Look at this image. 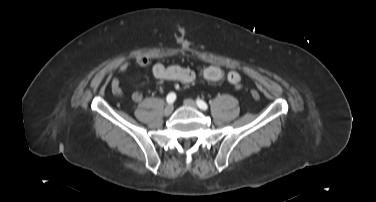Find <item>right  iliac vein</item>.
I'll use <instances>...</instances> for the list:
<instances>
[{"label": "right iliac vein", "mask_w": 376, "mask_h": 202, "mask_svg": "<svg viewBox=\"0 0 376 202\" xmlns=\"http://www.w3.org/2000/svg\"><path fill=\"white\" fill-rule=\"evenodd\" d=\"M173 110H174V107H173L172 104L167 105V106L165 107V109H164V115H165V116H169V115H171L172 112H173Z\"/></svg>", "instance_id": "right-iliac-vein-1"}]
</instances>
